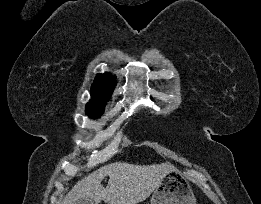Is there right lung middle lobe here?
<instances>
[{
    "label": "right lung middle lobe",
    "mask_w": 261,
    "mask_h": 204,
    "mask_svg": "<svg viewBox=\"0 0 261 204\" xmlns=\"http://www.w3.org/2000/svg\"><path fill=\"white\" fill-rule=\"evenodd\" d=\"M104 107H93V106H87L86 107V114L90 117H99L103 114Z\"/></svg>",
    "instance_id": "obj_1"
}]
</instances>
